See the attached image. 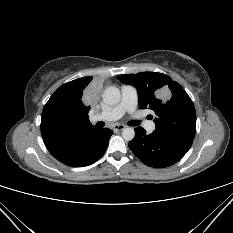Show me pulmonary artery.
<instances>
[{
    "mask_svg": "<svg viewBox=\"0 0 233 233\" xmlns=\"http://www.w3.org/2000/svg\"><path fill=\"white\" fill-rule=\"evenodd\" d=\"M121 94V101L116 106L95 115L94 120L111 122L120 119L125 113L134 114L138 104L137 90L133 86L124 85L121 88ZM145 128L153 131L155 123L148 121L145 123Z\"/></svg>",
    "mask_w": 233,
    "mask_h": 233,
    "instance_id": "1",
    "label": "pulmonary artery"
}]
</instances>
